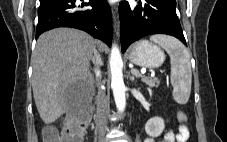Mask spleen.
<instances>
[{
  "label": "spleen",
  "instance_id": "spleen-1",
  "mask_svg": "<svg viewBox=\"0 0 227 142\" xmlns=\"http://www.w3.org/2000/svg\"><path fill=\"white\" fill-rule=\"evenodd\" d=\"M150 40L159 44L169 54L173 98L179 104H186L190 97L192 83L188 50L180 41L172 36L157 34L151 36Z\"/></svg>",
  "mask_w": 227,
  "mask_h": 142
}]
</instances>
